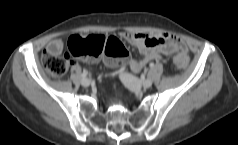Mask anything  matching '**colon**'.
<instances>
[{"label": "colon", "instance_id": "obj_1", "mask_svg": "<svg viewBox=\"0 0 238 145\" xmlns=\"http://www.w3.org/2000/svg\"><path fill=\"white\" fill-rule=\"evenodd\" d=\"M69 53L63 57L44 51L41 56L42 65L55 76L66 73L70 60L69 54L84 59H96L104 56L108 65L120 67L128 63L129 52L125 45L115 37L102 35L72 36L68 42ZM174 65L183 70L188 65L185 53L173 57Z\"/></svg>", "mask_w": 238, "mask_h": 145}]
</instances>
